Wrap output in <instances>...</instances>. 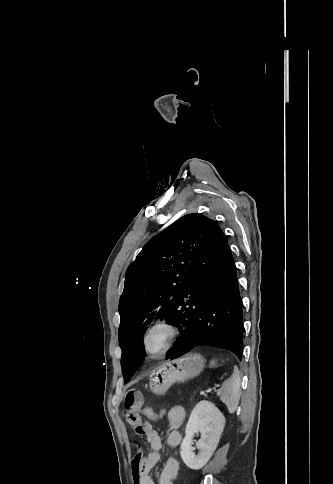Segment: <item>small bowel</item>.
<instances>
[{"label": "small bowel", "instance_id": "c3829d8e", "mask_svg": "<svg viewBox=\"0 0 333 484\" xmlns=\"http://www.w3.org/2000/svg\"><path fill=\"white\" fill-rule=\"evenodd\" d=\"M124 414L136 433L145 436L149 445V452L146 456L138 453L132 461V473L134 484H156L152 469L160 459L162 441L159 433L153 426L143 420L144 398L140 391L131 389L124 395ZM186 418L185 409L181 406L171 407L166 415V421L170 428L166 443L171 450H175L182 441L180 428L183 426ZM179 470V462L171 456L159 478L158 484H173Z\"/></svg>", "mask_w": 333, "mask_h": 484}]
</instances>
